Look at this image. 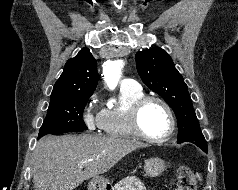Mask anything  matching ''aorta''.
I'll return each instance as SVG.
<instances>
[{
	"instance_id": "1",
	"label": "aorta",
	"mask_w": 238,
	"mask_h": 190,
	"mask_svg": "<svg viewBox=\"0 0 238 190\" xmlns=\"http://www.w3.org/2000/svg\"><path fill=\"white\" fill-rule=\"evenodd\" d=\"M122 66V60L108 61L105 63L103 74L105 76V81L110 89H114L117 86Z\"/></svg>"
}]
</instances>
